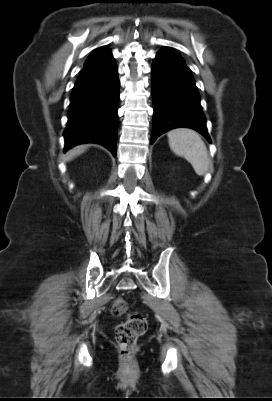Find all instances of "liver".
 Here are the masks:
<instances>
[{
  "label": "liver",
  "mask_w": 272,
  "mask_h": 401,
  "mask_svg": "<svg viewBox=\"0 0 272 401\" xmlns=\"http://www.w3.org/2000/svg\"><path fill=\"white\" fill-rule=\"evenodd\" d=\"M87 146L86 145H81V146H77L74 149L70 150L66 156H65V160H71L72 158L80 155L81 153H83L86 150Z\"/></svg>",
  "instance_id": "1"
}]
</instances>
